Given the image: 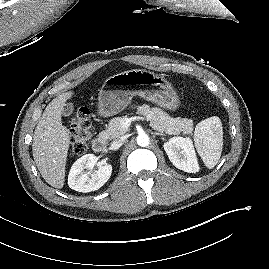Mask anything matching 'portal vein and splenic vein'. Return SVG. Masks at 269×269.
<instances>
[{"label": "portal vein and splenic vein", "mask_w": 269, "mask_h": 269, "mask_svg": "<svg viewBox=\"0 0 269 269\" xmlns=\"http://www.w3.org/2000/svg\"><path fill=\"white\" fill-rule=\"evenodd\" d=\"M136 119V117H131V118H125L123 121H122V126L124 128H128L131 124L132 121H134Z\"/></svg>", "instance_id": "portal-vein-and-splenic-vein-1"}]
</instances>
